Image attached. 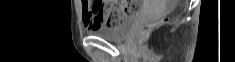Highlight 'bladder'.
Listing matches in <instances>:
<instances>
[{
    "instance_id": "31cf9c89",
    "label": "bladder",
    "mask_w": 235,
    "mask_h": 62,
    "mask_svg": "<svg viewBox=\"0 0 235 62\" xmlns=\"http://www.w3.org/2000/svg\"><path fill=\"white\" fill-rule=\"evenodd\" d=\"M135 19V15L124 16L118 24L101 26L91 30V34L107 41H120L128 35Z\"/></svg>"
}]
</instances>
